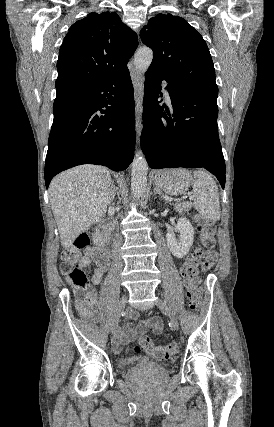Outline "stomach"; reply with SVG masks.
Returning a JSON list of instances; mask_svg holds the SVG:
<instances>
[{"label":"stomach","mask_w":274,"mask_h":427,"mask_svg":"<svg viewBox=\"0 0 274 427\" xmlns=\"http://www.w3.org/2000/svg\"><path fill=\"white\" fill-rule=\"evenodd\" d=\"M192 176L188 170H160L154 172V184L161 192L170 196H181L187 192Z\"/></svg>","instance_id":"0dacf381"}]
</instances>
